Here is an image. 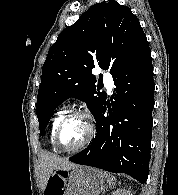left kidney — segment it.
Listing matches in <instances>:
<instances>
[{
    "instance_id": "left-kidney-1",
    "label": "left kidney",
    "mask_w": 178,
    "mask_h": 195,
    "mask_svg": "<svg viewBox=\"0 0 178 195\" xmlns=\"http://www.w3.org/2000/svg\"><path fill=\"white\" fill-rule=\"evenodd\" d=\"M112 195H132L130 190H127L125 188H119L115 190Z\"/></svg>"
}]
</instances>
